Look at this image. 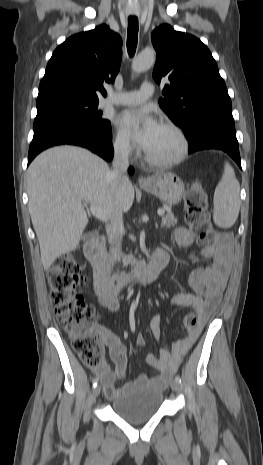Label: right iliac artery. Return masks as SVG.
Masks as SVG:
<instances>
[{"label": "right iliac artery", "mask_w": 263, "mask_h": 465, "mask_svg": "<svg viewBox=\"0 0 263 465\" xmlns=\"http://www.w3.org/2000/svg\"><path fill=\"white\" fill-rule=\"evenodd\" d=\"M97 384H98V378L96 377V378H94L93 381H92V386H93V388H95V387L97 386Z\"/></svg>", "instance_id": "obj_1"}]
</instances>
